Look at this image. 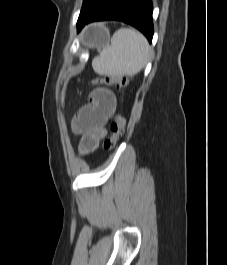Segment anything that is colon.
Segmentation results:
<instances>
[{"label": "colon", "instance_id": "colon-1", "mask_svg": "<svg viewBox=\"0 0 227 265\" xmlns=\"http://www.w3.org/2000/svg\"><path fill=\"white\" fill-rule=\"evenodd\" d=\"M94 84L114 85L119 89H125L128 80L125 77L103 76L91 81ZM111 136L104 142V148L107 151L113 150L118 140L123 136L126 129V119L122 114H116L111 123Z\"/></svg>", "mask_w": 227, "mask_h": 265}]
</instances>
